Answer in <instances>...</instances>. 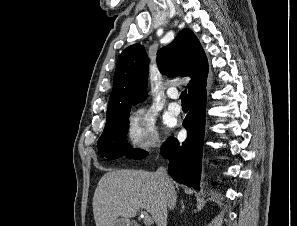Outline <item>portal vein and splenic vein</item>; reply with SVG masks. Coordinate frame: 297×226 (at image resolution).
I'll use <instances>...</instances> for the list:
<instances>
[{
	"label": "portal vein and splenic vein",
	"mask_w": 297,
	"mask_h": 226,
	"mask_svg": "<svg viewBox=\"0 0 297 226\" xmlns=\"http://www.w3.org/2000/svg\"><path fill=\"white\" fill-rule=\"evenodd\" d=\"M141 218H143L144 223H145L146 225H151V224L153 223L152 218L148 215V213H147L146 211H143V212L141 213Z\"/></svg>",
	"instance_id": "portal-vein-and-splenic-vein-1"
}]
</instances>
